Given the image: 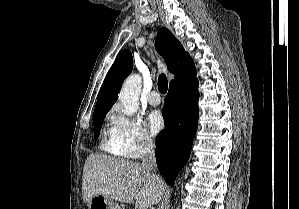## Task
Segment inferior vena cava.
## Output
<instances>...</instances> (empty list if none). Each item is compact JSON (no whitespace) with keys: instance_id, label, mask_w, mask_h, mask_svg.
Returning a JSON list of instances; mask_svg holds the SVG:
<instances>
[{"instance_id":"obj_1","label":"inferior vena cava","mask_w":299,"mask_h":209,"mask_svg":"<svg viewBox=\"0 0 299 209\" xmlns=\"http://www.w3.org/2000/svg\"><path fill=\"white\" fill-rule=\"evenodd\" d=\"M142 166L150 171L154 176L156 174L155 144L150 138H145L142 144L141 153Z\"/></svg>"}]
</instances>
